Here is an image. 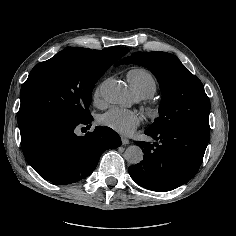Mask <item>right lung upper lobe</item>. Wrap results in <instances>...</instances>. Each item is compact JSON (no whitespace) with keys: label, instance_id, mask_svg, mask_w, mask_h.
I'll list each match as a JSON object with an SVG mask.
<instances>
[{"label":"right lung upper lobe","instance_id":"obj_1","mask_svg":"<svg viewBox=\"0 0 236 236\" xmlns=\"http://www.w3.org/2000/svg\"><path fill=\"white\" fill-rule=\"evenodd\" d=\"M98 52H100L101 54L105 55L106 57L116 62L118 59H120L125 54H127L129 52V49L124 48V47H110V48H107Z\"/></svg>","mask_w":236,"mask_h":236}]
</instances>
